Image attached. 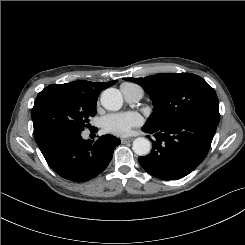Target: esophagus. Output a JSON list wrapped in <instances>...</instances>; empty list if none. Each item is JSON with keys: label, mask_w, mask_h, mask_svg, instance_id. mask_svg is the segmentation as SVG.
<instances>
[{"label": "esophagus", "mask_w": 245, "mask_h": 245, "mask_svg": "<svg viewBox=\"0 0 245 245\" xmlns=\"http://www.w3.org/2000/svg\"><path fill=\"white\" fill-rule=\"evenodd\" d=\"M132 140H133L132 137L121 138V142H122V143H128V142H131Z\"/></svg>", "instance_id": "34e87169"}]
</instances>
